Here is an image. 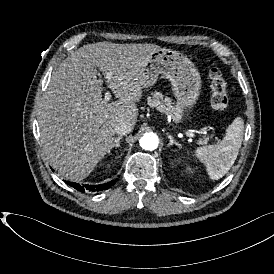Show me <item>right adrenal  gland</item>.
<instances>
[{"label":"right adrenal gland","instance_id":"right-adrenal-gland-1","mask_svg":"<svg viewBox=\"0 0 274 274\" xmlns=\"http://www.w3.org/2000/svg\"><path fill=\"white\" fill-rule=\"evenodd\" d=\"M122 139V136H118L117 138H115V143L113 144L112 150L114 149H120V140Z\"/></svg>","mask_w":274,"mask_h":274}]
</instances>
